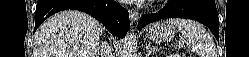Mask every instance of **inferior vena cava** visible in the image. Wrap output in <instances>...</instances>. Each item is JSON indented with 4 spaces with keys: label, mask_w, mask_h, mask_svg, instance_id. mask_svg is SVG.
Instances as JSON below:
<instances>
[{
    "label": "inferior vena cava",
    "mask_w": 249,
    "mask_h": 57,
    "mask_svg": "<svg viewBox=\"0 0 249 57\" xmlns=\"http://www.w3.org/2000/svg\"><path fill=\"white\" fill-rule=\"evenodd\" d=\"M99 54L101 57H113L111 47L107 43H102L99 48Z\"/></svg>",
    "instance_id": "602c4592"
}]
</instances>
